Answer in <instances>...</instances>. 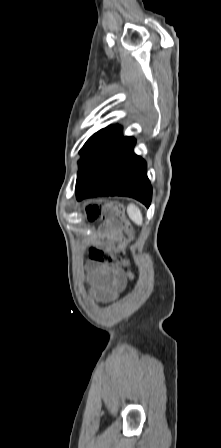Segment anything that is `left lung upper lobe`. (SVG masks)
<instances>
[{
    "instance_id": "obj_1",
    "label": "left lung upper lobe",
    "mask_w": 221,
    "mask_h": 448,
    "mask_svg": "<svg viewBox=\"0 0 221 448\" xmlns=\"http://www.w3.org/2000/svg\"><path fill=\"white\" fill-rule=\"evenodd\" d=\"M121 130L122 128L116 125L93 134L79 151L81 155L78 162L79 169L96 163L107 152L114 150L118 145L131 138L123 137Z\"/></svg>"
}]
</instances>
